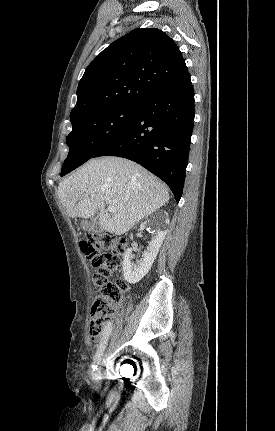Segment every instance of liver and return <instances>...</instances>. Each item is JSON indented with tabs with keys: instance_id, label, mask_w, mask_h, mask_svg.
Returning a JSON list of instances; mask_svg holds the SVG:
<instances>
[{
	"instance_id": "liver-1",
	"label": "liver",
	"mask_w": 275,
	"mask_h": 431,
	"mask_svg": "<svg viewBox=\"0 0 275 431\" xmlns=\"http://www.w3.org/2000/svg\"><path fill=\"white\" fill-rule=\"evenodd\" d=\"M69 217L91 218L99 210V225L122 235L169 201L167 186L133 161L120 157L91 159L58 186ZM106 205L114 206L110 214Z\"/></svg>"
}]
</instances>
